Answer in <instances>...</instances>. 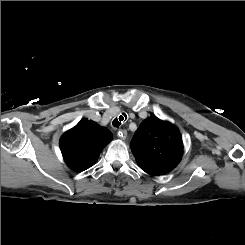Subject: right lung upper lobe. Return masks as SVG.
<instances>
[{
    "mask_svg": "<svg viewBox=\"0 0 245 245\" xmlns=\"http://www.w3.org/2000/svg\"><path fill=\"white\" fill-rule=\"evenodd\" d=\"M111 139L112 133L107 128L83 119L62 135L60 149L67 165L79 172L95 164Z\"/></svg>",
    "mask_w": 245,
    "mask_h": 245,
    "instance_id": "obj_1",
    "label": "right lung upper lobe"
}]
</instances>
